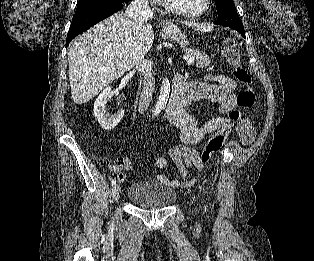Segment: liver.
Segmentation results:
<instances>
[{"label":"liver","instance_id":"1","mask_svg":"<svg viewBox=\"0 0 314 261\" xmlns=\"http://www.w3.org/2000/svg\"><path fill=\"white\" fill-rule=\"evenodd\" d=\"M153 41L151 25L138 29L130 17L119 13L87 30L72 42L68 53L73 101L86 103L122 77L148 53Z\"/></svg>","mask_w":314,"mask_h":261}]
</instances>
